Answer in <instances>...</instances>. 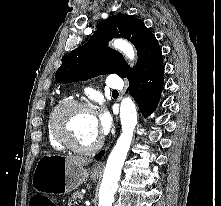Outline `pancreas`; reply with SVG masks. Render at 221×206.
I'll list each match as a JSON object with an SVG mask.
<instances>
[{"label":"pancreas","mask_w":221,"mask_h":206,"mask_svg":"<svg viewBox=\"0 0 221 206\" xmlns=\"http://www.w3.org/2000/svg\"><path fill=\"white\" fill-rule=\"evenodd\" d=\"M79 195H81L79 191L74 192L73 195L71 196V200L68 203V206L77 204L76 199L79 198Z\"/></svg>","instance_id":"1"}]
</instances>
